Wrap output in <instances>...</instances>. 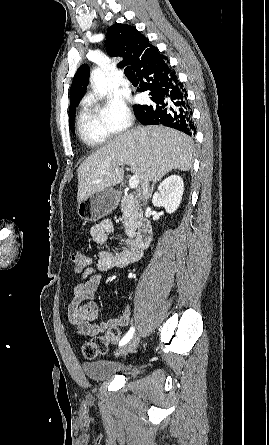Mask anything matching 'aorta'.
Masks as SVG:
<instances>
[{
  "label": "aorta",
  "mask_w": 269,
  "mask_h": 445,
  "mask_svg": "<svg viewBox=\"0 0 269 445\" xmlns=\"http://www.w3.org/2000/svg\"><path fill=\"white\" fill-rule=\"evenodd\" d=\"M91 81L96 91L101 95L107 94V81L103 71L99 68H95L91 73Z\"/></svg>",
  "instance_id": "762f6f07"
}]
</instances>
